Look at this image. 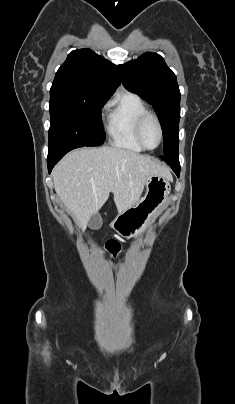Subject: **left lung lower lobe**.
<instances>
[{
  "instance_id": "1",
  "label": "left lung lower lobe",
  "mask_w": 235,
  "mask_h": 404,
  "mask_svg": "<svg viewBox=\"0 0 235 404\" xmlns=\"http://www.w3.org/2000/svg\"><path fill=\"white\" fill-rule=\"evenodd\" d=\"M162 160H164L166 163H168L172 170L175 172V174L179 177L180 175V163L178 158H170V157H164L160 156Z\"/></svg>"
}]
</instances>
